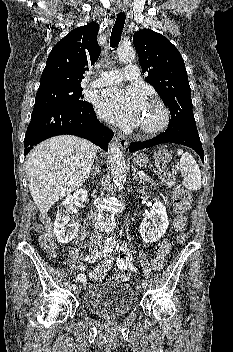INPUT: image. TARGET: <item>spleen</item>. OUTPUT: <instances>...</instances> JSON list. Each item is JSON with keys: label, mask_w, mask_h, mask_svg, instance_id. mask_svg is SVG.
Segmentation results:
<instances>
[{"label": "spleen", "mask_w": 233, "mask_h": 352, "mask_svg": "<svg viewBox=\"0 0 233 352\" xmlns=\"http://www.w3.org/2000/svg\"><path fill=\"white\" fill-rule=\"evenodd\" d=\"M180 156V171L183 176V185L190 191L201 188V172L194 157L182 149L177 150Z\"/></svg>", "instance_id": "3e777b00"}]
</instances>
